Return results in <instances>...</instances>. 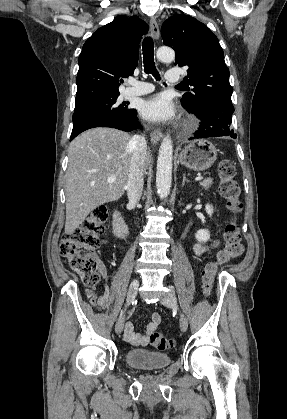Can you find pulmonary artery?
<instances>
[{
    "instance_id": "1",
    "label": "pulmonary artery",
    "mask_w": 287,
    "mask_h": 419,
    "mask_svg": "<svg viewBox=\"0 0 287 419\" xmlns=\"http://www.w3.org/2000/svg\"><path fill=\"white\" fill-rule=\"evenodd\" d=\"M165 80L168 83L177 84L181 81L180 72L178 70H168L165 74ZM129 87H127L125 94L127 96H140L153 91L154 87L152 84L147 82L138 81L135 79H129Z\"/></svg>"
}]
</instances>
